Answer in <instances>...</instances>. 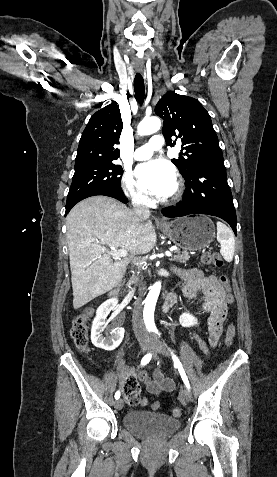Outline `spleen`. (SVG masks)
<instances>
[{"instance_id": "obj_1", "label": "spleen", "mask_w": 277, "mask_h": 477, "mask_svg": "<svg viewBox=\"0 0 277 477\" xmlns=\"http://www.w3.org/2000/svg\"><path fill=\"white\" fill-rule=\"evenodd\" d=\"M217 241L220 243L222 257L231 262L234 257L235 239L232 231L222 222H217Z\"/></svg>"}]
</instances>
